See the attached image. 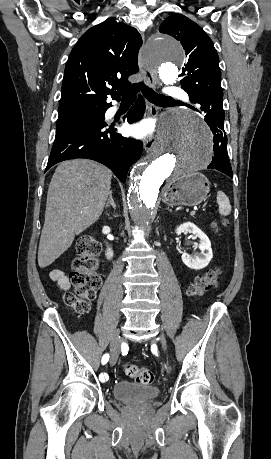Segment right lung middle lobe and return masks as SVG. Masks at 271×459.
Returning <instances> with one entry per match:
<instances>
[{"instance_id": "dd1d6c3e", "label": "right lung middle lobe", "mask_w": 271, "mask_h": 459, "mask_svg": "<svg viewBox=\"0 0 271 459\" xmlns=\"http://www.w3.org/2000/svg\"><path fill=\"white\" fill-rule=\"evenodd\" d=\"M105 105H87L68 111H59L56 128L83 120H98L105 118Z\"/></svg>"}]
</instances>
